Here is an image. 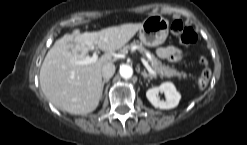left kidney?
I'll return each instance as SVG.
<instances>
[{
	"mask_svg": "<svg viewBox=\"0 0 247 145\" xmlns=\"http://www.w3.org/2000/svg\"><path fill=\"white\" fill-rule=\"evenodd\" d=\"M159 92H164L166 98L165 101L159 99ZM146 97L154 107H158L160 109H172L179 104L181 95L176 90L173 83L164 82L159 87L149 89L146 92Z\"/></svg>",
	"mask_w": 247,
	"mask_h": 145,
	"instance_id": "1",
	"label": "left kidney"
}]
</instances>
